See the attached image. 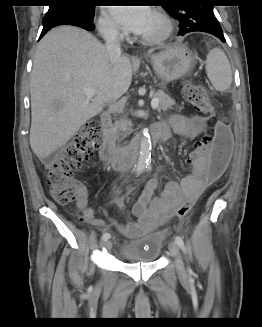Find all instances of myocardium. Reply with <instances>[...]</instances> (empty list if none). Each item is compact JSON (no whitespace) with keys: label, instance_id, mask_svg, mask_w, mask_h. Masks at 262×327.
I'll use <instances>...</instances> for the list:
<instances>
[{"label":"myocardium","instance_id":"myocardium-1","mask_svg":"<svg viewBox=\"0 0 262 327\" xmlns=\"http://www.w3.org/2000/svg\"><path fill=\"white\" fill-rule=\"evenodd\" d=\"M152 14L160 24V31L155 34L140 35L139 39L147 44H159L166 41L173 32L170 18L161 10L154 9Z\"/></svg>","mask_w":262,"mask_h":327}]
</instances>
